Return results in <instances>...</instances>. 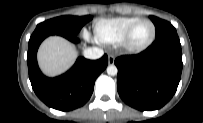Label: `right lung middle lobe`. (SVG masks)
I'll return each instance as SVG.
<instances>
[{"instance_id": "obj_1", "label": "right lung middle lobe", "mask_w": 203, "mask_h": 123, "mask_svg": "<svg viewBox=\"0 0 203 123\" xmlns=\"http://www.w3.org/2000/svg\"><path fill=\"white\" fill-rule=\"evenodd\" d=\"M92 19L90 15L87 16H61L37 25L35 31L47 32L49 34H57L61 36H76L83 25Z\"/></svg>"}]
</instances>
